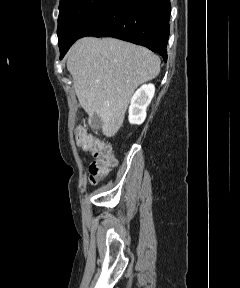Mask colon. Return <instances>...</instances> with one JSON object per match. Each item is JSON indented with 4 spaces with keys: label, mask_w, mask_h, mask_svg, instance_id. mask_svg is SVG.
Wrapping results in <instances>:
<instances>
[{
    "label": "colon",
    "mask_w": 240,
    "mask_h": 288,
    "mask_svg": "<svg viewBox=\"0 0 240 288\" xmlns=\"http://www.w3.org/2000/svg\"><path fill=\"white\" fill-rule=\"evenodd\" d=\"M74 134L77 144L91 152L94 157L89 167V180L92 184H97L116 164L112 149L110 145L92 136L82 127H77Z\"/></svg>",
    "instance_id": "1"
}]
</instances>
